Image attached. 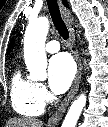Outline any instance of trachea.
Returning <instances> with one entry per match:
<instances>
[{
	"label": "trachea",
	"instance_id": "1",
	"mask_svg": "<svg viewBox=\"0 0 108 127\" xmlns=\"http://www.w3.org/2000/svg\"><path fill=\"white\" fill-rule=\"evenodd\" d=\"M48 9L52 18V21L58 30L59 34L64 40H67L69 37L68 29L61 17L59 6L56 0H47Z\"/></svg>",
	"mask_w": 108,
	"mask_h": 127
}]
</instances>
